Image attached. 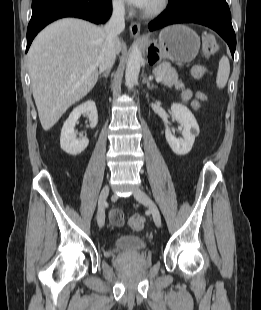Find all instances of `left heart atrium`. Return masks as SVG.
Masks as SVG:
<instances>
[{
	"mask_svg": "<svg viewBox=\"0 0 261 310\" xmlns=\"http://www.w3.org/2000/svg\"><path fill=\"white\" fill-rule=\"evenodd\" d=\"M125 1L134 7L140 9H146L151 0H125Z\"/></svg>",
	"mask_w": 261,
	"mask_h": 310,
	"instance_id": "39dd6f15",
	"label": "left heart atrium"
}]
</instances>
